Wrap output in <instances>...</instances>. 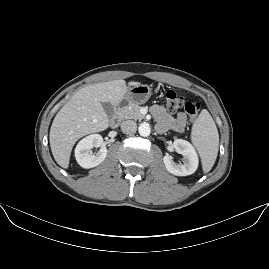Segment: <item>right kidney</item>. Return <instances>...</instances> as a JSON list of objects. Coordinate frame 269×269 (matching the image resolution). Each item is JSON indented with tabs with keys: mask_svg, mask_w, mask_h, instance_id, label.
<instances>
[{
	"mask_svg": "<svg viewBox=\"0 0 269 269\" xmlns=\"http://www.w3.org/2000/svg\"><path fill=\"white\" fill-rule=\"evenodd\" d=\"M102 137L99 134H90L82 138L75 147V158L83 168H91L100 164L107 155L106 148H100L95 154H91L92 149L99 147Z\"/></svg>",
	"mask_w": 269,
	"mask_h": 269,
	"instance_id": "ca27d5eb",
	"label": "right kidney"
}]
</instances>
